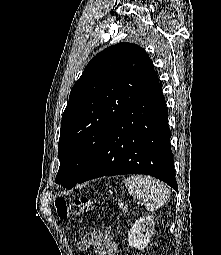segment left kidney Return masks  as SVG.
<instances>
[{
	"label": "left kidney",
	"instance_id": "left-kidney-1",
	"mask_svg": "<svg viewBox=\"0 0 221 255\" xmlns=\"http://www.w3.org/2000/svg\"><path fill=\"white\" fill-rule=\"evenodd\" d=\"M154 231V216H143L135 221L128 232V245L138 250H144L149 244Z\"/></svg>",
	"mask_w": 221,
	"mask_h": 255
}]
</instances>
